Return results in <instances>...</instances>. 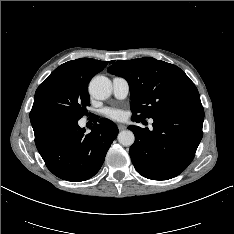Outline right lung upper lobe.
I'll list each match as a JSON object with an SVG mask.
<instances>
[{"label": "right lung upper lobe", "instance_id": "right-lung-upper-lobe-1", "mask_svg": "<svg viewBox=\"0 0 234 234\" xmlns=\"http://www.w3.org/2000/svg\"><path fill=\"white\" fill-rule=\"evenodd\" d=\"M107 63L91 58L68 61L56 68L43 83L63 77L88 86L90 79L102 71Z\"/></svg>", "mask_w": 234, "mask_h": 234}]
</instances>
